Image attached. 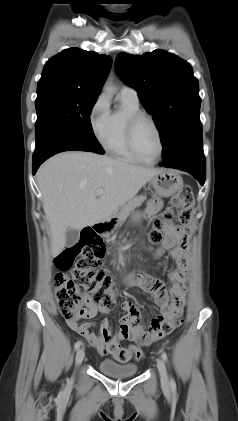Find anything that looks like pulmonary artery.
Masks as SVG:
<instances>
[{"label": "pulmonary artery", "mask_w": 238, "mask_h": 421, "mask_svg": "<svg viewBox=\"0 0 238 421\" xmlns=\"http://www.w3.org/2000/svg\"><path fill=\"white\" fill-rule=\"evenodd\" d=\"M120 95L126 97L132 101L139 102L137 91L129 86H123L120 89Z\"/></svg>", "instance_id": "obj_1"}]
</instances>
